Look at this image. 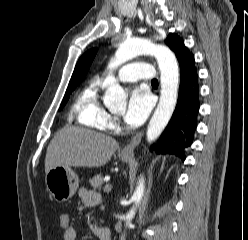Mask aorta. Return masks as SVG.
I'll return each mask as SVG.
<instances>
[{"label": "aorta", "instance_id": "obj_1", "mask_svg": "<svg viewBox=\"0 0 248 240\" xmlns=\"http://www.w3.org/2000/svg\"><path fill=\"white\" fill-rule=\"evenodd\" d=\"M152 55L157 59L160 69L161 80V95L158 106L149 122L147 128V141L153 142L167 126L172 114L175 110L178 88H179V70L178 63L174 54L165 46L157 45L148 39H130L123 42L115 53V58L112 60L108 69L110 74L105 82L107 84L104 95V104L109 108H116L126 104L127 94L124 89L116 82L112 75V70L125 63L126 61L139 56ZM145 190V181L141 177L139 179L136 190L133 194L135 206L141 202ZM136 208L133 207L126 215V224L130 225L134 218ZM125 236L121 237L124 240Z\"/></svg>", "mask_w": 248, "mask_h": 240}]
</instances>
